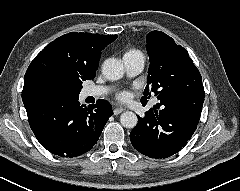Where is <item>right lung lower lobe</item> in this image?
<instances>
[{
  "instance_id": "1",
  "label": "right lung lower lobe",
  "mask_w": 240,
  "mask_h": 191,
  "mask_svg": "<svg viewBox=\"0 0 240 191\" xmlns=\"http://www.w3.org/2000/svg\"><path fill=\"white\" fill-rule=\"evenodd\" d=\"M23 103L37 140L60 157H77L91 150L113 114L105 100L88 107L80 105L78 97H38Z\"/></svg>"
}]
</instances>
